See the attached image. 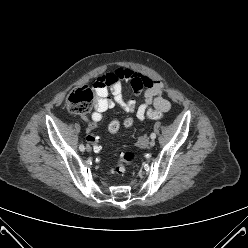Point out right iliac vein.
<instances>
[{
	"label": "right iliac vein",
	"instance_id": "63e3f726",
	"mask_svg": "<svg viewBox=\"0 0 248 248\" xmlns=\"http://www.w3.org/2000/svg\"><path fill=\"white\" fill-rule=\"evenodd\" d=\"M86 150H87L88 152H90V151H91V148L87 145Z\"/></svg>",
	"mask_w": 248,
	"mask_h": 248
}]
</instances>
